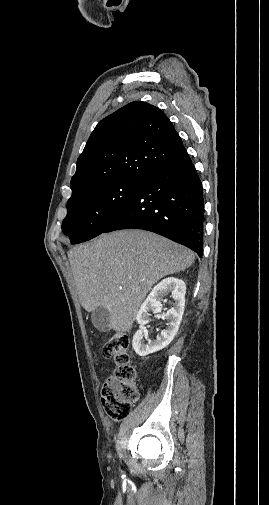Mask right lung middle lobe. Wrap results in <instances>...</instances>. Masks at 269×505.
<instances>
[{
	"label": "right lung middle lobe",
	"mask_w": 269,
	"mask_h": 505,
	"mask_svg": "<svg viewBox=\"0 0 269 505\" xmlns=\"http://www.w3.org/2000/svg\"><path fill=\"white\" fill-rule=\"evenodd\" d=\"M141 182L114 181L90 187L68 200L62 230L72 244L90 240L118 216Z\"/></svg>",
	"instance_id": "dd1d6c3e"
}]
</instances>
